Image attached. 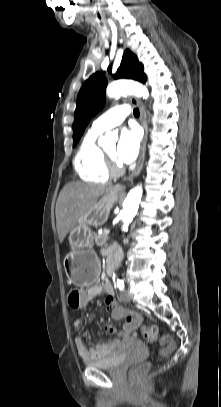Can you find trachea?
<instances>
[{"label": "trachea", "mask_w": 221, "mask_h": 407, "mask_svg": "<svg viewBox=\"0 0 221 407\" xmlns=\"http://www.w3.org/2000/svg\"><path fill=\"white\" fill-rule=\"evenodd\" d=\"M133 114H134L135 117H139V115H140L139 110L137 108H135L133 110Z\"/></svg>", "instance_id": "3493384b"}]
</instances>
